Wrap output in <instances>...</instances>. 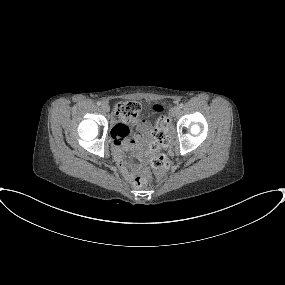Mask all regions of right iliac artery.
<instances>
[{
    "label": "right iliac artery",
    "mask_w": 285,
    "mask_h": 285,
    "mask_svg": "<svg viewBox=\"0 0 285 285\" xmlns=\"http://www.w3.org/2000/svg\"><path fill=\"white\" fill-rule=\"evenodd\" d=\"M97 105L100 106V105H101V101H98V102H97Z\"/></svg>",
    "instance_id": "obj_1"
}]
</instances>
